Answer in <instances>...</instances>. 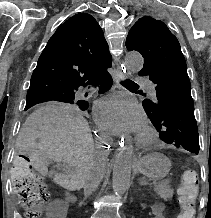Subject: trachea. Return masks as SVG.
<instances>
[{"instance_id": "obj_1", "label": "trachea", "mask_w": 211, "mask_h": 218, "mask_svg": "<svg viewBox=\"0 0 211 218\" xmlns=\"http://www.w3.org/2000/svg\"><path fill=\"white\" fill-rule=\"evenodd\" d=\"M120 83L124 85L126 88H139L137 83L132 82L131 80H121Z\"/></svg>"}]
</instances>
